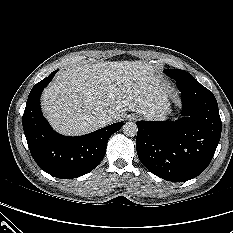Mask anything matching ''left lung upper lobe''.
Wrapping results in <instances>:
<instances>
[{
	"instance_id": "1",
	"label": "left lung upper lobe",
	"mask_w": 233,
	"mask_h": 233,
	"mask_svg": "<svg viewBox=\"0 0 233 233\" xmlns=\"http://www.w3.org/2000/svg\"><path fill=\"white\" fill-rule=\"evenodd\" d=\"M164 73L176 82L195 79L190 73L180 69H165Z\"/></svg>"
}]
</instances>
